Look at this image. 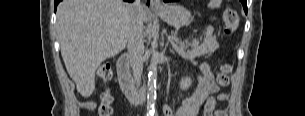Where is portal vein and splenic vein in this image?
Returning <instances> with one entry per match:
<instances>
[{"mask_svg": "<svg viewBox=\"0 0 305 116\" xmlns=\"http://www.w3.org/2000/svg\"><path fill=\"white\" fill-rule=\"evenodd\" d=\"M169 40L172 42L174 40V37H169Z\"/></svg>", "mask_w": 305, "mask_h": 116, "instance_id": "obj_1", "label": "portal vein and splenic vein"}]
</instances>
